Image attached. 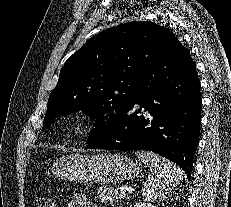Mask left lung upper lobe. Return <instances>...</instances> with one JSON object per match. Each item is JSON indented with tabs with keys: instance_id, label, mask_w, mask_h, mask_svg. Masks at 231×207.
<instances>
[{
	"instance_id": "left-lung-upper-lobe-1",
	"label": "left lung upper lobe",
	"mask_w": 231,
	"mask_h": 207,
	"mask_svg": "<svg viewBox=\"0 0 231 207\" xmlns=\"http://www.w3.org/2000/svg\"><path fill=\"white\" fill-rule=\"evenodd\" d=\"M177 40L152 22H130L109 28L68 58L48 99L42 130L62 115L79 110L96 119L88 146L118 127L138 97L139 78Z\"/></svg>"
}]
</instances>
